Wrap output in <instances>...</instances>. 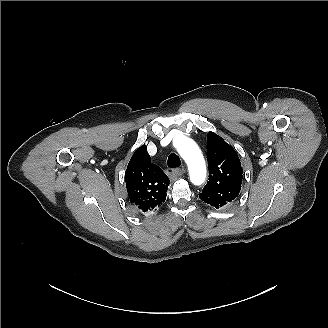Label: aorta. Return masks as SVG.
I'll return each instance as SVG.
<instances>
[{
    "instance_id": "aorta-1",
    "label": "aorta",
    "mask_w": 328,
    "mask_h": 328,
    "mask_svg": "<svg viewBox=\"0 0 328 328\" xmlns=\"http://www.w3.org/2000/svg\"><path fill=\"white\" fill-rule=\"evenodd\" d=\"M175 147L188 166L190 180L195 185H201L206 178V165L201 150L190 138L182 136Z\"/></svg>"
}]
</instances>
